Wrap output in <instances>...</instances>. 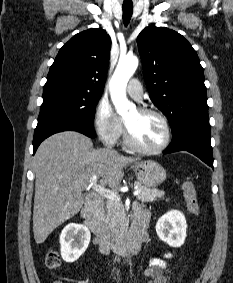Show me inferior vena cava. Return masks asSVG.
Instances as JSON below:
<instances>
[{
    "mask_svg": "<svg viewBox=\"0 0 233 283\" xmlns=\"http://www.w3.org/2000/svg\"><path fill=\"white\" fill-rule=\"evenodd\" d=\"M107 150L111 153H117L115 150L111 149L110 147H108Z\"/></svg>",
    "mask_w": 233,
    "mask_h": 283,
    "instance_id": "602c4592",
    "label": "inferior vena cava"
}]
</instances>
